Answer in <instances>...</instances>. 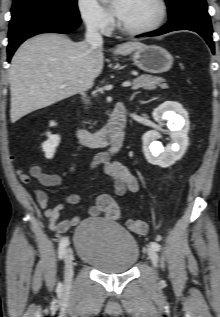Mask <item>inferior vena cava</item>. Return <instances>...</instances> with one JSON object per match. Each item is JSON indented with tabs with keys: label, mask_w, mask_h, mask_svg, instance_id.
<instances>
[{
	"label": "inferior vena cava",
	"mask_w": 220,
	"mask_h": 317,
	"mask_svg": "<svg viewBox=\"0 0 220 317\" xmlns=\"http://www.w3.org/2000/svg\"><path fill=\"white\" fill-rule=\"evenodd\" d=\"M85 41L92 49L102 47L103 45V38L94 22L87 23ZM81 95L82 98L86 100L85 89H82Z\"/></svg>",
	"instance_id": "1"
}]
</instances>
